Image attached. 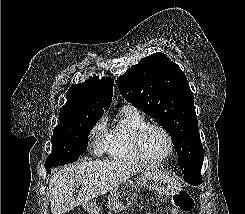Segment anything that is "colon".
Here are the masks:
<instances>
[{
  "label": "colon",
  "instance_id": "obj_1",
  "mask_svg": "<svg viewBox=\"0 0 245 214\" xmlns=\"http://www.w3.org/2000/svg\"><path fill=\"white\" fill-rule=\"evenodd\" d=\"M174 210L180 213H190L194 208V201L186 190L178 191L173 197Z\"/></svg>",
  "mask_w": 245,
  "mask_h": 214
}]
</instances>
